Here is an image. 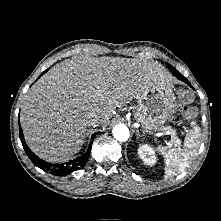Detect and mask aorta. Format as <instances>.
Returning a JSON list of instances; mask_svg holds the SVG:
<instances>
[{"instance_id":"1","label":"aorta","mask_w":221,"mask_h":221,"mask_svg":"<svg viewBox=\"0 0 221 221\" xmlns=\"http://www.w3.org/2000/svg\"><path fill=\"white\" fill-rule=\"evenodd\" d=\"M113 136L120 142H125L129 138V129L124 124L116 125L112 130Z\"/></svg>"}]
</instances>
